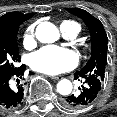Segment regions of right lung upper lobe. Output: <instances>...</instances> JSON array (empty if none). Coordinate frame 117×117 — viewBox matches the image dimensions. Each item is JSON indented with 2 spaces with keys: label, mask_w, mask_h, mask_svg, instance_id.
Here are the masks:
<instances>
[{
  "label": "right lung upper lobe",
  "mask_w": 117,
  "mask_h": 117,
  "mask_svg": "<svg viewBox=\"0 0 117 117\" xmlns=\"http://www.w3.org/2000/svg\"><path fill=\"white\" fill-rule=\"evenodd\" d=\"M34 14H22L19 12H10L0 17V29H15L19 28L20 24Z\"/></svg>",
  "instance_id": "cb5924a9"
}]
</instances>
